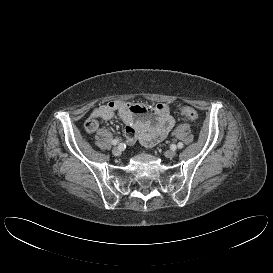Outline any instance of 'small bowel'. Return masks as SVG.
<instances>
[{"label": "small bowel", "instance_id": "obj_1", "mask_svg": "<svg viewBox=\"0 0 273 273\" xmlns=\"http://www.w3.org/2000/svg\"><path fill=\"white\" fill-rule=\"evenodd\" d=\"M99 119H119L125 125V137L129 144L137 140L146 147H152L166 138L175 124L166 103L154 106L124 101H110L96 107L85 123V131L94 133Z\"/></svg>", "mask_w": 273, "mask_h": 273}]
</instances>
